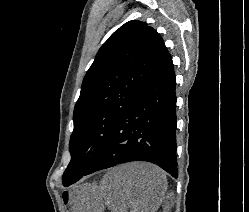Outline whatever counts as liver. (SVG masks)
<instances>
[{"label": "liver", "mask_w": 249, "mask_h": 212, "mask_svg": "<svg viewBox=\"0 0 249 212\" xmlns=\"http://www.w3.org/2000/svg\"><path fill=\"white\" fill-rule=\"evenodd\" d=\"M99 192L111 212H156L167 190L165 172L147 162H129L111 168Z\"/></svg>", "instance_id": "1"}]
</instances>
